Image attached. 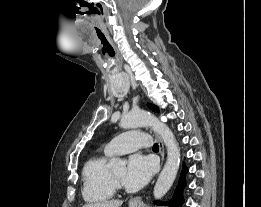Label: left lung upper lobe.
<instances>
[{
  "label": "left lung upper lobe",
  "instance_id": "1",
  "mask_svg": "<svg viewBox=\"0 0 261 207\" xmlns=\"http://www.w3.org/2000/svg\"><path fill=\"white\" fill-rule=\"evenodd\" d=\"M150 109H152L153 111L159 112L157 106H153V105H148Z\"/></svg>",
  "mask_w": 261,
  "mask_h": 207
}]
</instances>
